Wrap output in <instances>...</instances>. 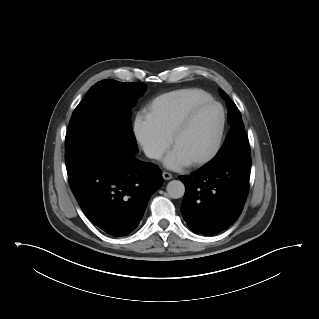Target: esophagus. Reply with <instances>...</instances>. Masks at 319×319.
Here are the masks:
<instances>
[{"label": "esophagus", "mask_w": 319, "mask_h": 319, "mask_svg": "<svg viewBox=\"0 0 319 319\" xmlns=\"http://www.w3.org/2000/svg\"><path fill=\"white\" fill-rule=\"evenodd\" d=\"M162 176L164 180H170L173 178L172 174L168 173V172H162Z\"/></svg>", "instance_id": "34e87169"}]
</instances>
